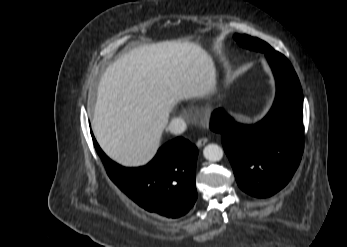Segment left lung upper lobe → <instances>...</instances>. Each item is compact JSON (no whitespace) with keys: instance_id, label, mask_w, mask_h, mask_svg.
<instances>
[{"instance_id":"5c2ea615","label":"left lung upper lobe","mask_w":347,"mask_h":247,"mask_svg":"<svg viewBox=\"0 0 347 247\" xmlns=\"http://www.w3.org/2000/svg\"><path fill=\"white\" fill-rule=\"evenodd\" d=\"M234 38L239 43V45L246 47L248 49L258 50L266 54H272L276 52L269 44H267L266 42L258 38H253L248 35H239V34H235Z\"/></svg>"}]
</instances>
